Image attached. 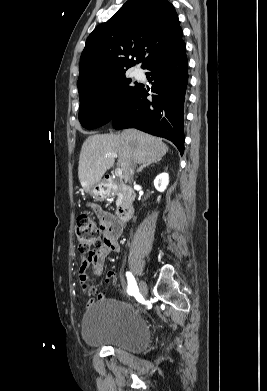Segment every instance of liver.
<instances>
[{
	"instance_id": "1",
	"label": "liver",
	"mask_w": 267,
	"mask_h": 391,
	"mask_svg": "<svg viewBox=\"0 0 267 391\" xmlns=\"http://www.w3.org/2000/svg\"><path fill=\"white\" fill-rule=\"evenodd\" d=\"M168 146L162 139L136 129H126L120 134H96L89 136L82 145L78 177L86 192L101 181L106 171L114 164L118 155L117 166L123 170V178H130L133 163H147L160 160L167 152Z\"/></svg>"
}]
</instances>
